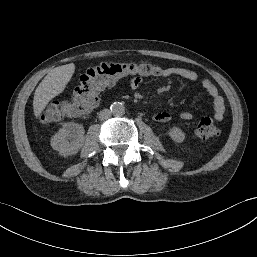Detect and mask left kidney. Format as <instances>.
I'll return each instance as SVG.
<instances>
[{
	"label": "left kidney",
	"mask_w": 257,
	"mask_h": 257,
	"mask_svg": "<svg viewBox=\"0 0 257 257\" xmlns=\"http://www.w3.org/2000/svg\"><path fill=\"white\" fill-rule=\"evenodd\" d=\"M168 134L173 141L178 143L183 142L185 139L184 132L178 127H173L172 129H170Z\"/></svg>",
	"instance_id": "1"
}]
</instances>
